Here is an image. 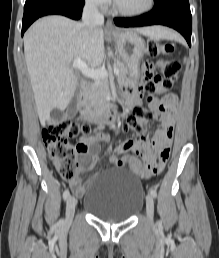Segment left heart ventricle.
<instances>
[{"label": "left heart ventricle", "mask_w": 219, "mask_h": 258, "mask_svg": "<svg viewBox=\"0 0 219 258\" xmlns=\"http://www.w3.org/2000/svg\"><path fill=\"white\" fill-rule=\"evenodd\" d=\"M116 2L125 10H139L147 5L148 0H116Z\"/></svg>", "instance_id": "left-heart-ventricle-1"}]
</instances>
